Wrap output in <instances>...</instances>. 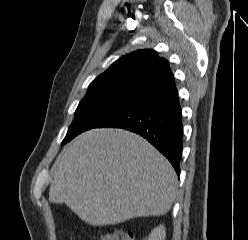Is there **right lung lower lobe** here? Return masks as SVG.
I'll return each instance as SVG.
<instances>
[{
	"label": "right lung lower lobe",
	"instance_id": "1",
	"mask_svg": "<svg viewBox=\"0 0 248 240\" xmlns=\"http://www.w3.org/2000/svg\"><path fill=\"white\" fill-rule=\"evenodd\" d=\"M177 94L174 88L137 100L104 117L92 128L116 127L143 136L170 161L179 176L183 127Z\"/></svg>",
	"mask_w": 248,
	"mask_h": 240
}]
</instances>
